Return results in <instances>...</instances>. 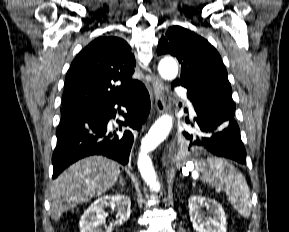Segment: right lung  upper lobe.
I'll list each match as a JSON object with an SVG mask.
<instances>
[{"mask_svg": "<svg viewBox=\"0 0 289 232\" xmlns=\"http://www.w3.org/2000/svg\"><path fill=\"white\" fill-rule=\"evenodd\" d=\"M131 47L118 37H99L72 62L65 78L61 112L115 103L130 96L141 83L132 79Z\"/></svg>", "mask_w": 289, "mask_h": 232, "instance_id": "obj_1", "label": "right lung upper lobe"}]
</instances>
